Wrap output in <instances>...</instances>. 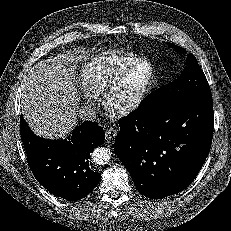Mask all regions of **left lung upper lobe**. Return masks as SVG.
Segmentation results:
<instances>
[{
	"instance_id": "obj_1",
	"label": "left lung upper lobe",
	"mask_w": 231,
	"mask_h": 231,
	"mask_svg": "<svg viewBox=\"0 0 231 231\" xmlns=\"http://www.w3.org/2000/svg\"><path fill=\"white\" fill-rule=\"evenodd\" d=\"M169 45L179 52H184L181 47L171 43ZM206 97H212L209 84L195 56L190 53L181 76L151 93L141 106L148 112H159L184 101Z\"/></svg>"
}]
</instances>
